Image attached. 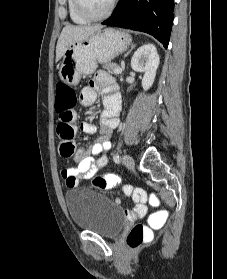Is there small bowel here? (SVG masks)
I'll return each instance as SVG.
<instances>
[{"label":"small bowel","mask_w":227,"mask_h":279,"mask_svg":"<svg viewBox=\"0 0 227 279\" xmlns=\"http://www.w3.org/2000/svg\"><path fill=\"white\" fill-rule=\"evenodd\" d=\"M102 92L104 111L101 114L100 121V137L91 144L89 149L79 148L73 152V158L78 163L76 167H66L61 171V175L68 187L70 178L74 177L77 182H81L92 178L96 172L107 163L106 153L111 148V137L114 129L119 124L120 112V95L118 86L112 76L107 73H97L91 80L90 84L83 88L80 93V103L84 107L92 106L98 97V93ZM71 125L76 128V120L73 117ZM81 130L86 134H95L98 127L90 122L83 121L80 124ZM67 142L62 138L61 146ZM133 190L131 186H126L125 191L130 193ZM136 207L133 215L140 217L144 215L148 209L145 197L134 196Z\"/></svg>","instance_id":"obj_1"}]
</instances>
